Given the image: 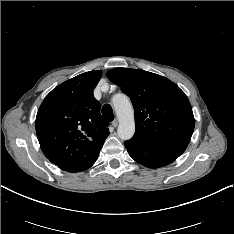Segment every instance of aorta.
<instances>
[{
  "label": "aorta",
  "instance_id": "762f6f07",
  "mask_svg": "<svg viewBox=\"0 0 234 234\" xmlns=\"http://www.w3.org/2000/svg\"><path fill=\"white\" fill-rule=\"evenodd\" d=\"M113 105L119 120L117 134L122 140H129L135 133L134 110L130 100L125 95L113 98Z\"/></svg>",
  "mask_w": 234,
  "mask_h": 234
}]
</instances>
